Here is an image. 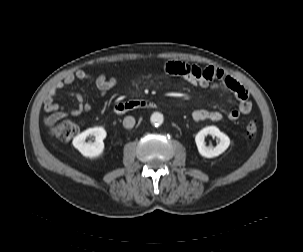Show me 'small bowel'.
<instances>
[{"label": "small bowel", "mask_w": 303, "mask_h": 252, "mask_svg": "<svg viewBox=\"0 0 303 252\" xmlns=\"http://www.w3.org/2000/svg\"><path fill=\"white\" fill-rule=\"evenodd\" d=\"M164 71L170 75L182 78L190 85L202 88H220L223 84L236 97L239 102L237 108L229 111L227 117L231 121H236L241 115L248 114L252 109V102L248 91L234 78L221 72L214 67H202L194 64L170 61L164 65ZM76 80L87 81L94 85L100 98H105L107 94L116 86L115 77H107L105 74H91L83 70H78L64 79L55 83L44 101L43 110L46 113L44 124L46 127L53 126L57 121L67 116L76 117L93 108L90 102H87L79 93H72L78 101L75 109L64 110L54 101L57 93L65 86L72 84ZM192 118L196 122L210 120L220 121L223 114L216 110L197 109L192 112Z\"/></svg>", "instance_id": "obj_1"}]
</instances>
